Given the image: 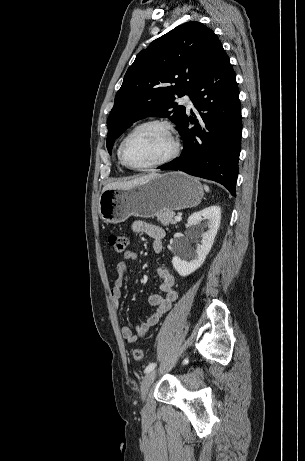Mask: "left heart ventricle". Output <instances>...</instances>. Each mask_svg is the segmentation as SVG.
I'll list each match as a JSON object with an SVG mask.
<instances>
[{
  "instance_id": "obj_1",
  "label": "left heart ventricle",
  "mask_w": 305,
  "mask_h": 461,
  "mask_svg": "<svg viewBox=\"0 0 305 461\" xmlns=\"http://www.w3.org/2000/svg\"><path fill=\"white\" fill-rule=\"evenodd\" d=\"M172 149L168 134L160 127L139 130L127 143L126 154L135 165H147L164 158Z\"/></svg>"
}]
</instances>
